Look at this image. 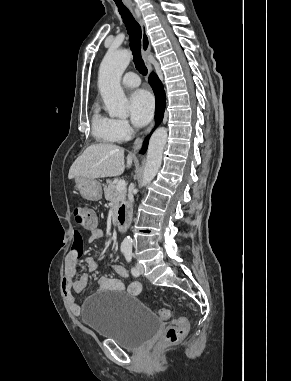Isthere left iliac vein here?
<instances>
[{
    "label": "left iliac vein",
    "mask_w": 291,
    "mask_h": 381,
    "mask_svg": "<svg viewBox=\"0 0 291 381\" xmlns=\"http://www.w3.org/2000/svg\"><path fill=\"white\" fill-rule=\"evenodd\" d=\"M136 269L138 270L139 275L142 274V273L144 272V267H143V265L140 264V263H138V264L136 265Z\"/></svg>",
    "instance_id": "4c4485c4"
}]
</instances>
